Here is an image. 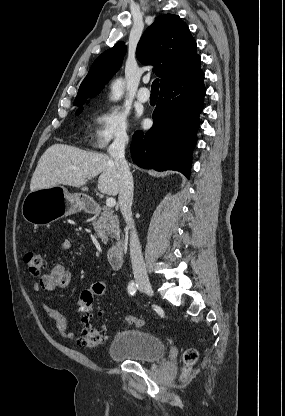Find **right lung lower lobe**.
<instances>
[{
    "instance_id": "right-lung-lower-lobe-1",
    "label": "right lung lower lobe",
    "mask_w": 285,
    "mask_h": 416,
    "mask_svg": "<svg viewBox=\"0 0 285 416\" xmlns=\"http://www.w3.org/2000/svg\"><path fill=\"white\" fill-rule=\"evenodd\" d=\"M203 80L201 71L160 90L152 128L146 133L137 131L133 136L131 156L138 166L176 170L189 178L191 152L206 92Z\"/></svg>"
}]
</instances>
